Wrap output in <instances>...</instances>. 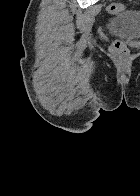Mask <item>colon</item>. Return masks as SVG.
<instances>
[{
	"instance_id": "5ec220e1",
	"label": "colon",
	"mask_w": 140,
	"mask_h": 196,
	"mask_svg": "<svg viewBox=\"0 0 140 196\" xmlns=\"http://www.w3.org/2000/svg\"><path fill=\"white\" fill-rule=\"evenodd\" d=\"M125 9L121 3L114 2L108 5L107 10L112 14L119 13ZM112 55L119 61L124 62L128 59L129 51L125 42L121 39H114L111 43Z\"/></svg>"
}]
</instances>
